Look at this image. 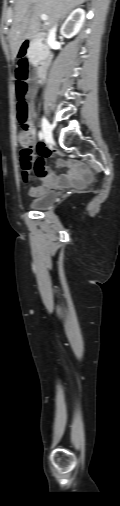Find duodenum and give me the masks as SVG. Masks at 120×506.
<instances>
[{"label": "duodenum", "mask_w": 120, "mask_h": 506, "mask_svg": "<svg viewBox=\"0 0 120 506\" xmlns=\"http://www.w3.org/2000/svg\"><path fill=\"white\" fill-rule=\"evenodd\" d=\"M44 39L45 37L42 33H36L28 37L23 41L22 45L18 47V56L20 58H26L28 56V50L30 46L41 43ZM50 61L51 56L50 54H47L41 61L37 63V69L40 76H43L46 73Z\"/></svg>", "instance_id": "410a0bca"}]
</instances>
